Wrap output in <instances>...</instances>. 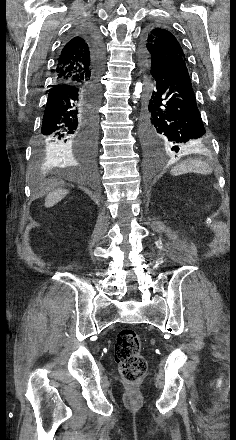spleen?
Here are the masks:
<instances>
[{"label": "spleen", "instance_id": "spleen-1", "mask_svg": "<svg viewBox=\"0 0 236 440\" xmlns=\"http://www.w3.org/2000/svg\"><path fill=\"white\" fill-rule=\"evenodd\" d=\"M188 172L207 175L212 173V168L206 161H202L198 159H190L177 164L175 167L171 169V174L175 176Z\"/></svg>", "mask_w": 236, "mask_h": 440}]
</instances>
